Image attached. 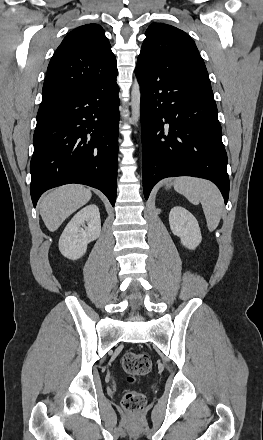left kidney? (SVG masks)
Returning <instances> with one entry per match:
<instances>
[{"label": "left kidney", "mask_w": 263, "mask_h": 440, "mask_svg": "<svg viewBox=\"0 0 263 440\" xmlns=\"http://www.w3.org/2000/svg\"><path fill=\"white\" fill-rule=\"evenodd\" d=\"M172 233L181 239L188 249H195L202 240L201 231L196 218L185 208L175 206L169 214Z\"/></svg>", "instance_id": "obj_1"}]
</instances>
